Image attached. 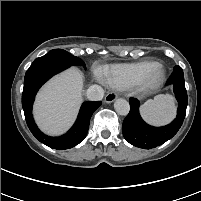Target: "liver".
I'll return each instance as SVG.
<instances>
[{
    "label": "liver",
    "mask_w": 201,
    "mask_h": 201,
    "mask_svg": "<svg viewBox=\"0 0 201 201\" xmlns=\"http://www.w3.org/2000/svg\"><path fill=\"white\" fill-rule=\"evenodd\" d=\"M83 75L71 68L47 82L39 91L34 104V117L42 131L59 135L76 118L82 102Z\"/></svg>",
    "instance_id": "6515ba94"
}]
</instances>
